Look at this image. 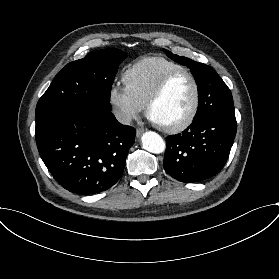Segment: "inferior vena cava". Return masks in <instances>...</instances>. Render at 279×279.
<instances>
[{"instance_id":"602c4592","label":"inferior vena cava","mask_w":279,"mask_h":279,"mask_svg":"<svg viewBox=\"0 0 279 279\" xmlns=\"http://www.w3.org/2000/svg\"><path fill=\"white\" fill-rule=\"evenodd\" d=\"M114 115L117 121L123 125H129L131 123L132 120L131 116H129L128 114L120 110L114 111Z\"/></svg>"}]
</instances>
